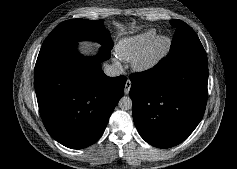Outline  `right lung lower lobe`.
<instances>
[{"label":"right lung lower lobe","instance_id":"98d812e1","mask_svg":"<svg viewBox=\"0 0 237 169\" xmlns=\"http://www.w3.org/2000/svg\"><path fill=\"white\" fill-rule=\"evenodd\" d=\"M109 57L104 47L83 57L76 42L41 47L34 71L39 111L49 134L68 148L96 142L123 96L126 77L102 72L100 63Z\"/></svg>","mask_w":237,"mask_h":169}]
</instances>
